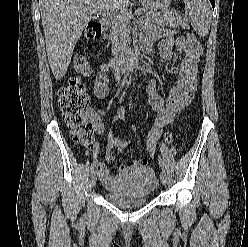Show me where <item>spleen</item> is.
Instances as JSON below:
<instances>
[{
	"label": "spleen",
	"instance_id": "1",
	"mask_svg": "<svg viewBox=\"0 0 248 247\" xmlns=\"http://www.w3.org/2000/svg\"><path fill=\"white\" fill-rule=\"evenodd\" d=\"M185 14L189 16L194 31L206 36L210 30L211 11L207 0H184Z\"/></svg>",
	"mask_w": 248,
	"mask_h": 247
}]
</instances>
